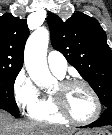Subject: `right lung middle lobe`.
Returning <instances> with one entry per match:
<instances>
[{"label": "right lung middle lobe", "mask_w": 112, "mask_h": 135, "mask_svg": "<svg viewBox=\"0 0 112 135\" xmlns=\"http://www.w3.org/2000/svg\"><path fill=\"white\" fill-rule=\"evenodd\" d=\"M20 70L0 69V107L19 112L14 99V82Z\"/></svg>", "instance_id": "obj_1"}]
</instances>
